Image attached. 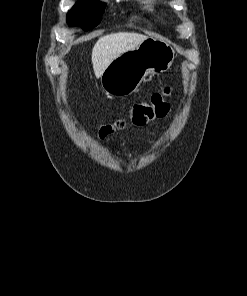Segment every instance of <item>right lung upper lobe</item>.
<instances>
[{
    "label": "right lung upper lobe",
    "mask_w": 247,
    "mask_h": 296,
    "mask_svg": "<svg viewBox=\"0 0 247 296\" xmlns=\"http://www.w3.org/2000/svg\"><path fill=\"white\" fill-rule=\"evenodd\" d=\"M80 1H91V0H80Z\"/></svg>",
    "instance_id": "obj_1"
}]
</instances>
